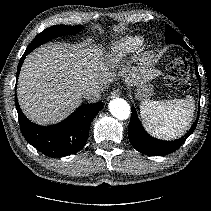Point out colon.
Segmentation results:
<instances>
[{"instance_id":"5ec220e1","label":"colon","mask_w":211,"mask_h":211,"mask_svg":"<svg viewBox=\"0 0 211 211\" xmlns=\"http://www.w3.org/2000/svg\"><path fill=\"white\" fill-rule=\"evenodd\" d=\"M166 82L179 92L189 89L188 63L185 57L176 55L172 58L167 68Z\"/></svg>"}]
</instances>
